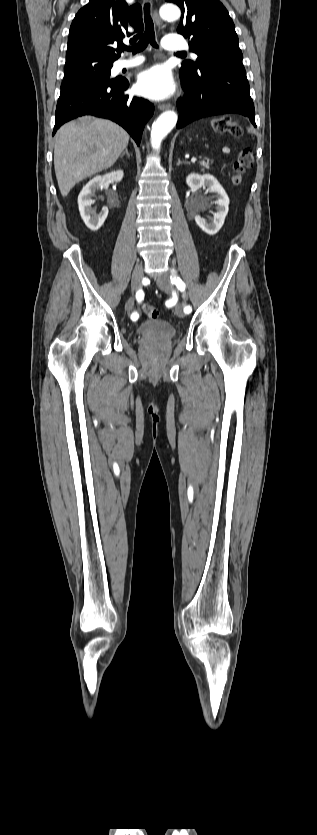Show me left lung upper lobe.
<instances>
[{
	"instance_id": "left-lung-upper-lobe-1",
	"label": "left lung upper lobe",
	"mask_w": 317,
	"mask_h": 835,
	"mask_svg": "<svg viewBox=\"0 0 317 835\" xmlns=\"http://www.w3.org/2000/svg\"><path fill=\"white\" fill-rule=\"evenodd\" d=\"M182 11L177 32L192 37L190 50L198 55L196 62L182 63L180 74L197 72L212 60H242L235 26L228 11L218 0H166Z\"/></svg>"
}]
</instances>
